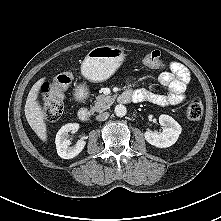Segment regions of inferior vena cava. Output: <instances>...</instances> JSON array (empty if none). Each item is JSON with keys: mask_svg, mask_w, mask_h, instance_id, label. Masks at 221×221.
Instances as JSON below:
<instances>
[{"mask_svg": "<svg viewBox=\"0 0 221 221\" xmlns=\"http://www.w3.org/2000/svg\"><path fill=\"white\" fill-rule=\"evenodd\" d=\"M108 117H109V113L104 112V113L97 115L96 119H97V121H105L106 119H108Z\"/></svg>", "mask_w": 221, "mask_h": 221, "instance_id": "1", "label": "inferior vena cava"}]
</instances>
